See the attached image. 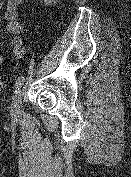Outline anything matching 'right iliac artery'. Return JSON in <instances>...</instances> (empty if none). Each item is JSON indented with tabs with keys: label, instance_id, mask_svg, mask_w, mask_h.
Wrapping results in <instances>:
<instances>
[{
	"label": "right iliac artery",
	"instance_id": "obj_1",
	"mask_svg": "<svg viewBox=\"0 0 131 177\" xmlns=\"http://www.w3.org/2000/svg\"><path fill=\"white\" fill-rule=\"evenodd\" d=\"M24 76H20L18 77V79L16 80V83H15V92L18 93L20 88L22 87L23 83H24Z\"/></svg>",
	"mask_w": 131,
	"mask_h": 177
}]
</instances>
